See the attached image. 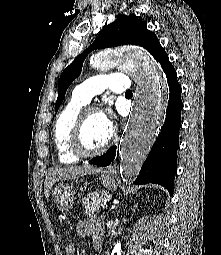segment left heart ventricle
I'll return each mask as SVG.
<instances>
[{
    "instance_id": "1",
    "label": "left heart ventricle",
    "mask_w": 221,
    "mask_h": 255,
    "mask_svg": "<svg viewBox=\"0 0 221 255\" xmlns=\"http://www.w3.org/2000/svg\"><path fill=\"white\" fill-rule=\"evenodd\" d=\"M110 135V126L100 114H91L88 116L84 129L83 141L88 150L100 148Z\"/></svg>"
}]
</instances>
